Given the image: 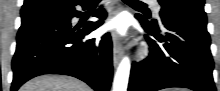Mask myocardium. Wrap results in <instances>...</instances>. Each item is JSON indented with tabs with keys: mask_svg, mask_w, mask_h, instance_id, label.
Masks as SVG:
<instances>
[{
	"mask_svg": "<svg viewBox=\"0 0 220 91\" xmlns=\"http://www.w3.org/2000/svg\"><path fill=\"white\" fill-rule=\"evenodd\" d=\"M146 54H147V52L144 50V51H142L141 56H146Z\"/></svg>",
	"mask_w": 220,
	"mask_h": 91,
	"instance_id": "1",
	"label": "myocardium"
}]
</instances>
